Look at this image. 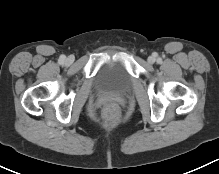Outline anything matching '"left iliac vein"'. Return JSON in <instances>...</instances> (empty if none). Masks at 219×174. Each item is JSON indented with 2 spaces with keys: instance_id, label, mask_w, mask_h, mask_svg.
<instances>
[{
  "instance_id": "4c4485c4",
  "label": "left iliac vein",
  "mask_w": 219,
  "mask_h": 174,
  "mask_svg": "<svg viewBox=\"0 0 219 174\" xmlns=\"http://www.w3.org/2000/svg\"><path fill=\"white\" fill-rule=\"evenodd\" d=\"M155 62V57L149 56L148 57V63L153 64Z\"/></svg>"
}]
</instances>
